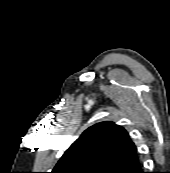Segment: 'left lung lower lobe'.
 I'll return each mask as SVG.
<instances>
[{
  "mask_svg": "<svg viewBox=\"0 0 170 173\" xmlns=\"http://www.w3.org/2000/svg\"><path fill=\"white\" fill-rule=\"evenodd\" d=\"M117 173H144V172L140 160L136 159L133 162L121 168Z\"/></svg>",
  "mask_w": 170,
  "mask_h": 173,
  "instance_id": "obj_1",
  "label": "left lung lower lobe"
}]
</instances>
